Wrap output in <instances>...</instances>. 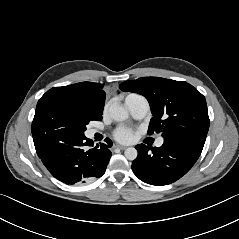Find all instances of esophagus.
I'll list each match as a JSON object with an SVG mask.
<instances>
[{
    "instance_id": "obj_1",
    "label": "esophagus",
    "mask_w": 239,
    "mask_h": 239,
    "mask_svg": "<svg viewBox=\"0 0 239 239\" xmlns=\"http://www.w3.org/2000/svg\"><path fill=\"white\" fill-rule=\"evenodd\" d=\"M115 147L116 148H119V149H121V150H124V149H126L127 147L126 146H122V145H115Z\"/></svg>"
}]
</instances>
